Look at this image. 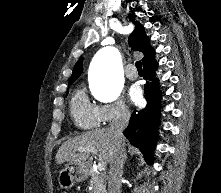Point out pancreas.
I'll list each match as a JSON object with an SVG mask.
<instances>
[{
    "mask_svg": "<svg viewBox=\"0 0 221 193\" xmlns=\"http://www.w3.org/2000/svg\"><path fill=\"white\" fill-rule=\"evenodd\" d=\"M89 184L92 187L90 193H106L105 178L103 175L93 172Z\"/></svg>",
    "mask_w": 221,
    "mask_h": 193,
    "instance_id": "obj_1",
    "label": "pancreas"
}]
</instances>
